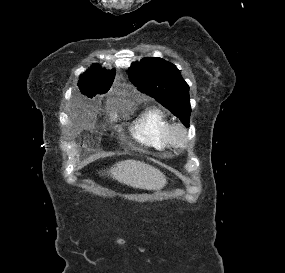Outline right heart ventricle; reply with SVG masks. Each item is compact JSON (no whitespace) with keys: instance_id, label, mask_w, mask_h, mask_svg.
Wrapping results in <instances>:
<instances>
[{"instance_id":"e07e8e85","label":"right heart ventricle","mask_w":285,"mask_h":273,"mask_svg":"<svg viewBox=\"0 0 285 273\" xmlns=\"http://www.w3.org/2000/svg\"><path fill=\"white\" fill-rule=\"evenodd\" d=\"M173 125L163 110L150 107L131 124L129 133L141 145L157 151H167L173 148L169 138Z\"/></svg>"}]
</instances>
